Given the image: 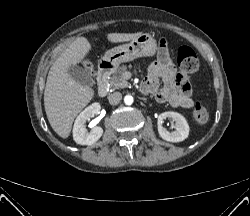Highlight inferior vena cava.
I'll use <instances>...</instances> for the list:
<instances>
[{"label":"inferior vena cava","instance_id":"obj_1","mask_svg":"<svg viewBox=\"0 0 250 216\" xmlns=\"http://www.w3.org/2000/svg\"><path fill=\"white\" fill-rule=\"evenodd\" d=\"M122 99V94L120 92H114L108 96V101L111 105L118 104Z\"/></svg>","mask_w":250,"mask_h":216}]
</instances>
